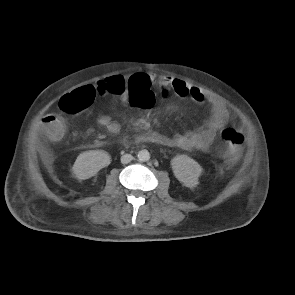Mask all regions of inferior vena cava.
Listing matches in <instances>:
<instances>
[{
  "label": "inferior vena cava",
  "mask_w": 295,
  "mask_h": 295,
  "mask_svg": "<svg viewBox=\"0 0 295 295\" xmlns=\"http://www.w3.org/2000/svg\"><path fill=\"white\" fill-rule=\"evenodd\" d=\"M133 160V156L131 154H124L121 156V163L127 164Z\"/></svg>",
  "instance_id": "obj_1"
}]
</instances>
